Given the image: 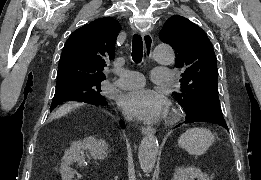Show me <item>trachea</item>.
Listing matches in <instances>:
<instances>
[{"mask_svg": "<svg viewBox=\"0 0 261 180\" xmlns=\"http://www.w3.org/2000/svg\"><path fill=\"white\" fill-rule=\"evenodd\" d=\"M132 59L135 63H140L143 57V41L139 34H135L132 40Z\"/></svg>", "mask_w": 261, "mask_h": 180, "instance_id": "trachea-1", "label": "trachea"}]
</instances>
